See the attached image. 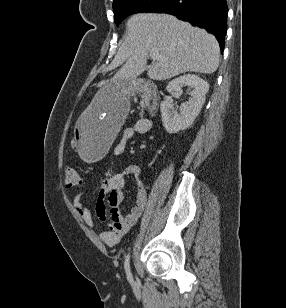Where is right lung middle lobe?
<instances>
[{"instance_id":"right-lung-middle-lobe-1","label":"right lung middle lobe","mask_w":286,"mask_h":308,"mask_svg":"<svg viewBox=\"0 0 286 308\" xmlns=\"http://www.w3.org/2000/svg\"><path fill=\"white\" fill-rule=\"evenodd\" d=\"M167 0H120L113 4L114 22L118 23L127 16L140 12H152Z\"/></svg>"}]
</instances>
